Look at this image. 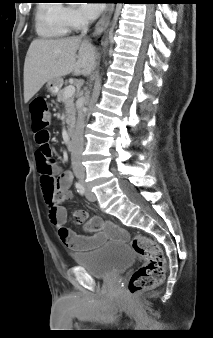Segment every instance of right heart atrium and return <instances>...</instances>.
<instances>
[{"label":"right heart atrium","instance_id":"obj_1","mask_svg":"<svg viewBox=\"0 0 213 338\" xmlns=\"http://www.w3.org/2000/svg\"><path fill=\"white\" fill-rule=\"evenodd\" d=\"M62 18L70 29L81 28L87 23V20L82 12L74 6L63 7Z\"/></svg>","mask_w":213,"mask_h":338}]
</instances>
